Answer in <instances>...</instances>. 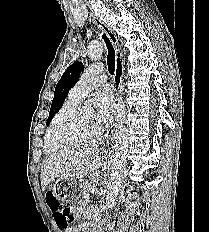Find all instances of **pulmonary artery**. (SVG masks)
<instances>
[{"label": "pulmonary artery", "instance_id": "e3ab8cb5", "mask_svg": "<svg viewBox=\"0 0 209 232\" xmlns=\"http://www.w3.org/2000/svg\"><path fill=\"white\" fill-rule=\"evenodd\" d=\"M103 71L104 66L102 64L89 66L71 89L69 96L76 101H80L91 89L103 84L107 80V75Z\"/></svg>", "mask_w": 209, "mask_h": 232}]
</instances>
